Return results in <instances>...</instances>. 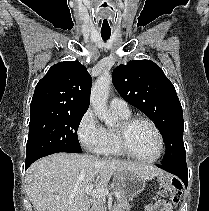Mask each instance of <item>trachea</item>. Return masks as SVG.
<instances>
[{"mask_svg":"<svg viewBox=\"0 0 209 211\" xmlns=\"http://www.w3.org/2000/svg\"><path fill=\"white\" fill-rule=\"evenodd\" d=\"M111 31H101L103 41H107L110 38Z\"/></svg>","mask_w":209,"mask_h":211,"instance_id":"1","label":"trachea"}]
</instances>
